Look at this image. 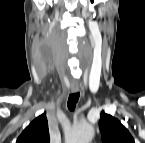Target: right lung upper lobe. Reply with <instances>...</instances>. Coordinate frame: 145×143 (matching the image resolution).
Wrapping results in <instances>:
<instances>
[{
  "mask_svg": "<svg viewBox=\"0 0 145 143\" xmlns=\"http://www.w3.org/2000/svg\"><path fill=\"white\" fill-rule=\"evenodd\" d=\"M16 143H49L46 113L34 119L21 133Z\"/></svg>",
  "mask_w": 145,
  "mask_h": 143,
  "instance_id": "obj_1",
  "label": "right lung upper lobe"
}]
</instances>
